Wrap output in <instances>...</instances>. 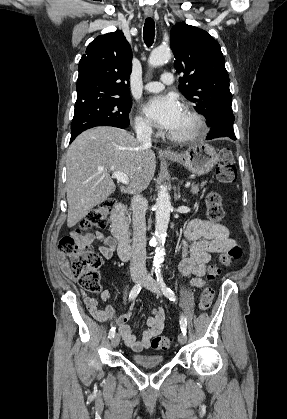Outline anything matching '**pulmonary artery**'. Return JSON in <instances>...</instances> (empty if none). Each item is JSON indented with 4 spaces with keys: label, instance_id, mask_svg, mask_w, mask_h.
I'll return each instance as SVG.
<instances>
[{
    "label": "pulmonary artery",
    "instance_id": "obj_1",
    "mask_svg": "<svg viewBox=\"0 0 287 419\" xmlns=\"http://www.w3.org/2000/svg\"><path fill=\"white\" fill-rule=\"evenodd\" d=\"M174 82V76L170 72L162 74L161 81L149 82L144 86V89L148 92L161 91L166 85H170Z\"/></svg>",
    "mask_w": 287,
    "mask_h": 419
}]
</instances>
